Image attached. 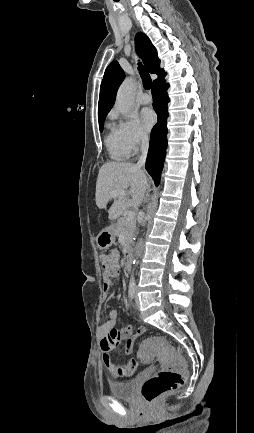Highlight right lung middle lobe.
I'll return each instance as SVG.
<instances>
[{
  "mask_svg": "<svg viewBox=\"0 0 254 433\" xmlns=\"http://www.w3.org/2000/svg\"><path fill=\"white\" fill-rule=\"evenodd\" d=\"M103 124H104V121H100L99 122V129H100V131L103 130Z\"/></svg>",
  "mask_w": 254,
  "mask_h": 433,
  "instance_id": "right-lung-middle-lobe-1",
  "label": "right lung middle lobe"
}]
</instances>
